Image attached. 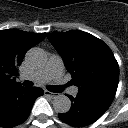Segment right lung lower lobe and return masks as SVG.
<instances>
[{"label": "right lung lower lobe", "instance_id": "obj_1", "mask_svg": "<svg viewBox=\"0 0 128 128\" xmlns=\"http://www.w3.org/2000/svg\"><path fill=\"white\" fill-rule=\"evenodd\" d=\"M41 88L16 87L0 97V127L12 128L24 122L32 109L34 101L42 96Z\"/></svg>", "mask_w": 128, "mask_h": 128}]
</instances>
